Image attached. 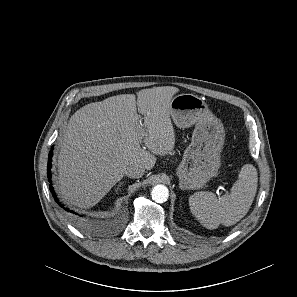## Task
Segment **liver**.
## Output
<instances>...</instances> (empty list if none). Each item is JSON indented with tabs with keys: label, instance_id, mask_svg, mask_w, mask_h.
Returning <instances> with one entry per match:
<instances>
[{
	"label": "liver",
	"instance_id": "obj_1",
	"mask_svg": "<svg viewBox=\"0 0 297 297\" xmlns=\"http://www.w3.org/2000/svg\"><path fill=\"white\" fill-rule=\"evenodd\" d=\"M178 91L173 86L153 87L139 91L137 100L134 94H122L76 111L59 141L62 198L81 208L92 207L123 178L127 166L151 170L155 155L171 152L175 132L170 103ZM137 110L143 115L142 125Z\"/></svg>",
	"mask_w": 297,
	"mask_h": 297
}]
</instances>
